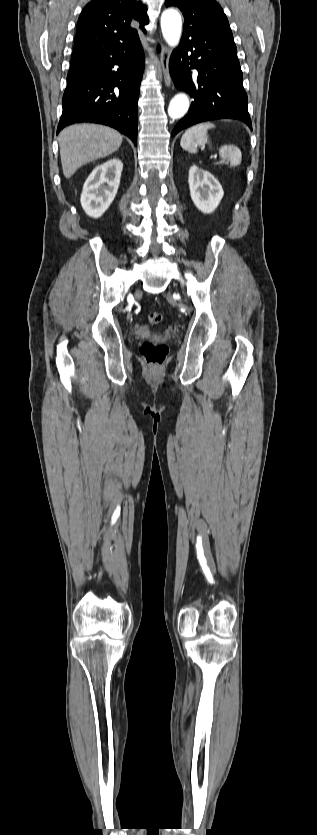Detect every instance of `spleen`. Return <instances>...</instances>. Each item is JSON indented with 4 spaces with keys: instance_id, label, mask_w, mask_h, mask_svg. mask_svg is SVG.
Segmentation results:
<instances>
[{
    "instance_id": "spleen-1",
    "label": "spleen",
    "mask_w": 317,
    "mask_h": 835,
    "mask_svg": "<svg viewBox=\"0 0 317 835\" xmlns=\"http://www.w3.org/2000/svg\"><path fill=\"white\" fill-rule=\"evenodd\" d=\"M215 128V125L210 122H203L196 124L186 130L181 138V147L190 153H196L199 146L210 145L208 130ZM219 155L221 161L225 162L230 168L238 166L241 163V151L233 145H222L219 147Z\"/></svg>"
}]
</instances>
